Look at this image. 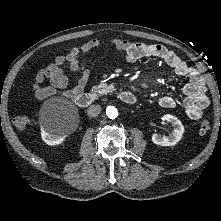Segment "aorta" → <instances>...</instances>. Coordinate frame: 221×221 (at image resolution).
I'll list each match as a JSON object with an SVG mask.
<instances>
[{"mask_svg":"<svg viewBox=\"0 0 221 221\" xmlns=\"http://www.w3.org/2000/svg\"><path fill=\"white\" fill-rule=\"evenodd\" d=\"M106 114L110 119H115L118 116V110L113 106H109L106 109Z\"/></svg>","mask_w":221,"mask_h":221,"instance_id":"obj_1","label":"aorta"}]
</instances>
